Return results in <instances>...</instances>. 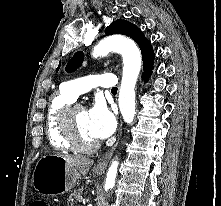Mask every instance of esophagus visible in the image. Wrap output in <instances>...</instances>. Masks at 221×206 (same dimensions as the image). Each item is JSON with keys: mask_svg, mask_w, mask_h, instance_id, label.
<instances>
[{"mask_svg": "<svg viewBox=\"0 0 221 206\" xmlns=\"http://www.w3.org/2000/svg\"><path fill=\"white\" fill-rule=\"evenodd\" d=\"M116 146H117V143L114 145V147L108 152V153H106L99 161H98V163L96 164V166H95V169L96 170H105L106 169V167H107V165H108V163H109V161H110V159H111V157H112V155H113V153H114V150H115V148H116Z\"/></svg>", "mask_w": 221, "mask_h": 206, "instance_id": "34e87169", "label": "esophagus"}]
</instances>
